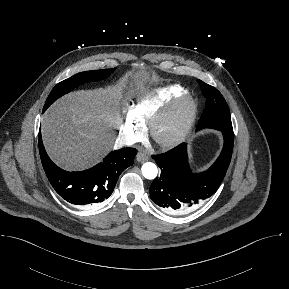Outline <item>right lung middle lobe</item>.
I'll use <instances>...</instances> for the list:
<instances>
[{
	"mask_svg": "<svg viewBox=\"0 0 289 289\" xmlns=\"http://www.w3.org/2000/svg\"><path fill=\"white\" fill-rule=\"evenodd\" d=\"M113 71L114 69H103L81 72L60 82L52 89L51 93L49 94L45 102L43 111H45L55 100H57L62 95L70 92L75 87L87 82L103 80L109 77Z\"/></svg>",
	"mask_w": 289,
	"mask_h": 289,
	"instance_id": "obj_1",
	"label": "right lung middle lobe"
}]
</instances>
